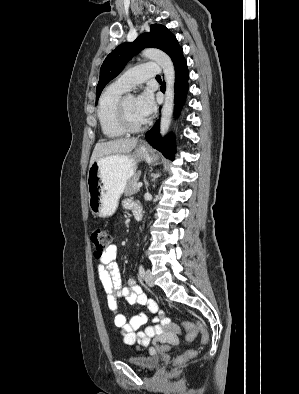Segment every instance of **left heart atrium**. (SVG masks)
<instances>
[{"mask_svg":"<svg viewBox=\"0 0 299 394\" xmlns=\"http://www.w3.org/2000/svg\"><path fill=\"white\" fill-rule=\"evenodd\" d=\"M135 106L140 116L146 121L155 110V102L151 92L145 91L135 99Z\"/></svg>","mask_w":299,"mask_h":394,"instance_id":"39dd6f15","label":"left heart atrium"}]
</instances>
